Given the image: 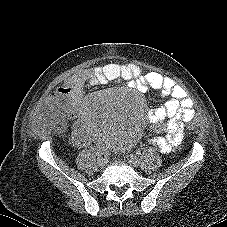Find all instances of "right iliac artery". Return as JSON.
I'll use <instances>...</instances> for the list:
<instances>
[{"instance_id":"right-iliac-artery-1","label":"right iliac artery","mask_w":227,"mask_h":227,"mask_svg":"<svg viewBox=\"0 0 227 227\" xmlns=\"http://www.w3.org/2000/svg\"><path fill=\"white\" fill-rule=\"evenodd\" d=\"M105 153L103 151L97 152V156H103Z\"/></svg>"}]
</instances>
